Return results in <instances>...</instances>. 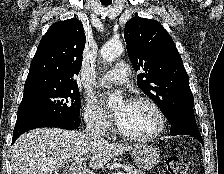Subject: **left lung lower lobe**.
I'll use <instances>...</instances> for the list:
<instances>
[{
    "instance_id": "1",
    "label": "left lung lower lobe",
    "mask_w": 224,
    "mask_h": 174,
    "mask_svg": "<svg viewBox=\"0 0 224 174\" xmlns=\"http://www.w3.org/2000/svg\"><path fill=\"white\" fill-rule=\"evenodd\" d=\"M169 123L171 125L170 135H190L203 145V139L196 124L193 107L178 109L169 120Z\"/></svg>"
}]
</instances>
